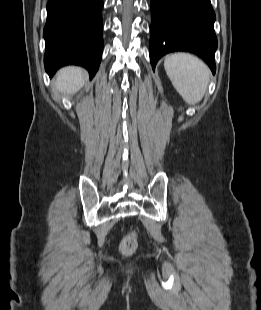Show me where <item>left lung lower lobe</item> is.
<instances>
[{"instance_id":"left-lung-lower-lobe-1","label":"left lung lower lobe","mask_w":261,"mask_h":310,"mask_svg":"<svg viewBox=\"0 0 261 310\" xmlns=\"http://www.w3.org/2000/svg\"><path fill=\"white\" fill-rule=\"evenodd\" d=\"M150 61L173 51H189L200 56L216 71L214 54L217 38L215 13L210 0H151Z\"/></svg>"}]
</instances>
